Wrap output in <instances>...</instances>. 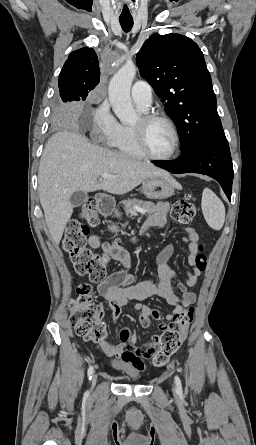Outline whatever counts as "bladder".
Instances as JSON below:
<instances>
[{
	"label": "bladder",
	"mask_w": 256,
	"mask_h": 445,
	"mask_svg": "<svg viewBox=\"0 0 256 445\" xmlns=\"http://www.w3.org/2000/svg\"><path fill=\"white\" fill-rule=\"evenodd\" d=\"M125 378L128 380H136L138 379V374L136 372H128L125 374Z\"/></svg>",
	"instance_id": "31cf9c89"
}]
</instances>
